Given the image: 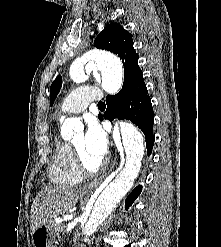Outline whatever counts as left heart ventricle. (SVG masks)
I'll return each instance as SVG.
<instances>
[{
  "instance_id": "left-heart-ventricle-1",
  "label": "left heart ventricle",
  "mask_w": 221,
  "mask_h": 247,
  "mask_svg": "<svg viewBox=\"0 0 221 247\" xmlns=\"http://www.w3.org/2000/svg\"><path fill=\"white\" fill-rule=\"evenodd\" d=\"M73 144L78 149L84 160L89 166H94L99 162V158L91 155L85 148L84 134L79 133L73 138Z\"/></svg>"
}]
</instances>
